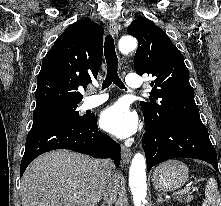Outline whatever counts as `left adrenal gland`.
<instances>
[{
	"label": "left adrenal gland",
	"mask_w": 221,
	"mask_h": 206,
	"mask_svg": "<svg viewBox=\"0 0 221 206\" xmlns=\"http://www.w3.org/2000/svg\"><path fill=\"white\" fill-rule=\"evenodd\" d=\"M163 201H166V200H164V199L161 197V195L158 194L157 204L162 203Z\"/></svg>",
	"instance_id": "1"
}]
</instances>
